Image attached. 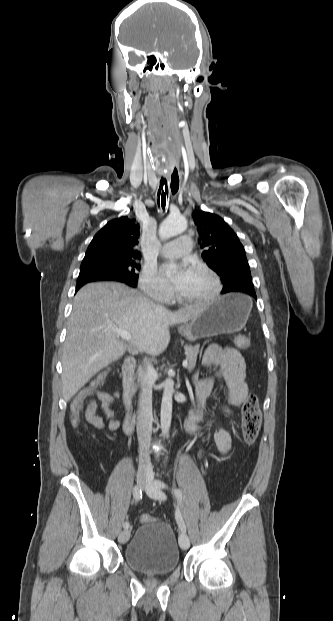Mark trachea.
Returning a JSON list of instances; mask_svg holds the SVG:
<instances>
[{
    "label": "trachea",
    "mask_w": 333,
    "mask_h": 621,
    "mask_svg": "<svg viewBox=\"0 0 333 621\" xmlns=\"http://www.w3.org/2000/svg\"><path fill=\"white\" fill-rule=\"evenodd\" d=\"M166 196L168 197L167 182L165 179L161 178L160 187L158 190V205H160V202H161V206L163 210L165 209V206H166Z\"/></svg>",
    "instance_id": "obj_1"
}]
</instances>
